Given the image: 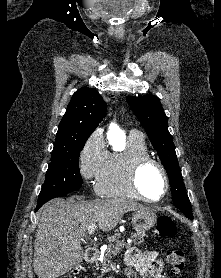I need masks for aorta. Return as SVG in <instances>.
<instances>
[{
  "instance_id": "762f6f07",
  "label": "aorta",
  "mask_w": 221,
  "mask_h": 278,
  "mask_svg": "<svg viewBox=\"0 0 221 278\" xmlns=\"http://www.w3.org/2000/svg\"><path fill=\"white\" fill-rule=\"evenodd\" d=\"M107 138L111 145L125 142V134L116 124L110 125Z\"/></svg>"
}]
</instances>
